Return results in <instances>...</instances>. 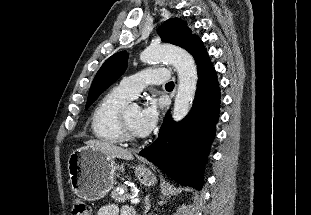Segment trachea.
Instances as JSON below:
<instances>
[{"instance_id": "obj_1", "label": "trachea", "mask_w": 311, "mask_h": 215, "mask_svg": "<svg viewBox=\"0 0 311 215\" xmlns=\"http://www.w3.org/2000/svg\"><path fill=\"white\" fill-rule=\"evenodd\" d=\"M166 87L170 88V87H174V82H168L166 85Z\"/></svg>"}]
</instances>
